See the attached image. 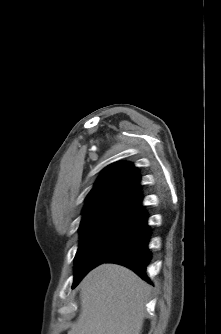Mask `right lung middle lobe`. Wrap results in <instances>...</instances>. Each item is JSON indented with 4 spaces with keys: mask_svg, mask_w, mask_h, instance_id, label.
Wrapping results in <instances>:
<instances>
[{
    "mask_svg": "<svg viewBox=\"0 0 221 334\" xmlns=\"http://www.w3.org/2000/svg\"><path fill=\"white\" fill-rule=\"evenodd\" d=\"M145 222V217L130 215H102L81 222V240L75 256L72 288L91 269L106 262L127 244Z\"/></svg>",
    "mask_w": 221,
    "mask_h": 334,
    "instance_id": "obj_1",
    "label": "right lung middle lobe"
}]
</instances>
